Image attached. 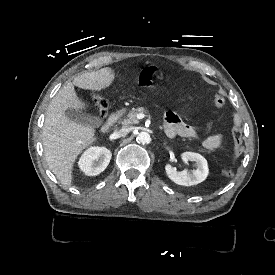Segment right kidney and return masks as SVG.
Here are the masks:
<instances>
[{"label": "right kidney", "instance_id": "1", "mask_svg": "<svg viewBox=\"0 0 275 275\" xmlns=\"http://www.w3.org/2000/svg\"><path fill=\"white\" fill-rule=\"evenodd\" d=\"M111 156L109 149L103 147L91 148L82 156L79 167L87 175H97L106 169Z\"/></svg>", "mask_w": 275, "mask_h": 275}]
</instances>
